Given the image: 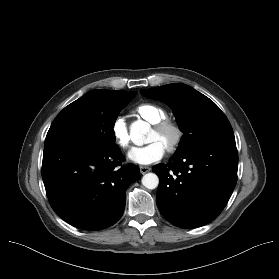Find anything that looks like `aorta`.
Segmentation results:
<instances>
[{"label":"aorta","mask_w":279,"mask_h":279,"mask_svg":"<svg viewBox=\"0 0 279 279\" xmlns=\"http://www.w3.org/2000/svg\"><path fill=\"white\" fill-rule=\"evenodd\" d=\"M149 131V124L143 120L132 123L130 127V136L135 143H141L145 134ZM142 184L147 189H155L159 184V178L155 173H147L142 177Z\"/></svg>","instance_id":"aorta-1"}]
</instances>
